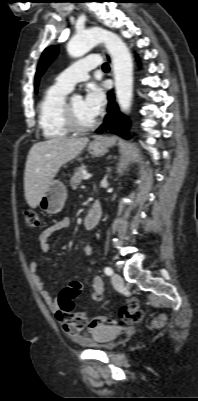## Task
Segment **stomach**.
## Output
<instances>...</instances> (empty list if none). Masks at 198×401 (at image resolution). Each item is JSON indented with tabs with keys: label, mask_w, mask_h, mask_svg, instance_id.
I'll return each instance as SVG.
<instances>
[{
	"label": "stomach",
	"mask_w": 198,
	"mask_h": 401,
	"mask_svg": "<svg viewBox=\"0 0 198 401\" xmlns=\"http://www.w3.org/2000/svg\"><path fill=\"white\" fill-rule=\"evenodd\" d=\"M88 151L93 156H102L108 151V142L97 138L89 144ZM66 199V186L59 180H52L38 206L46 213L56 214L63 209Z\"/></svg>",
	"instance_id": "stomach-1"
}]
</instances>
